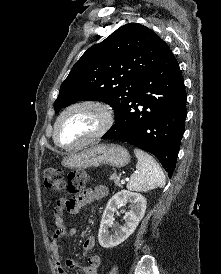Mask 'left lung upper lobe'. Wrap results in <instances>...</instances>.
I'll return each instance as SVG.
<instances>
[{"label":"left lung upper lobe","mask_w":221,"mask_h":274,"mask_svg":"<svg viewBox=\"0 0 221 274\" xmlns=\"http://www.w3.org/2000/svg\"><path fill=\"white\" fill-rule=\"evenodd\" d=\"M170 50L152 30L136 23L118 28L90 47L62 83L55 113L77 101H103L115 114L139 88L141 78Z\"/></svg>","instance_id":"5c2ea615"}]
</instances>
